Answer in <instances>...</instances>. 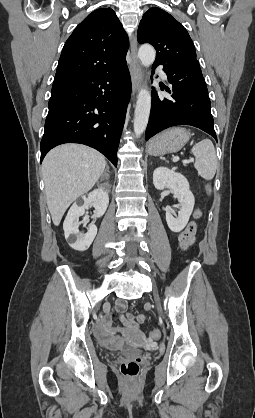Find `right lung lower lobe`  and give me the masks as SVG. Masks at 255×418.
Masks as SVG:
<instances>
[{"instance_id": "98d812e1", "label": "right lung lower lobe", "mask_w": 255, "mask_h": 418, "mask_svg": "<svg viewBox=\"0 0 255 418\" xmlns=\"http://www.w3.org/2000/svg\"><path fill=\"white\" fill-rule=\"evenodd\" d=\"M131 93L127 65L54 81L41 140V161L53 147L81 143L117 166V149Z\"/></svg>"}]
</instances>
